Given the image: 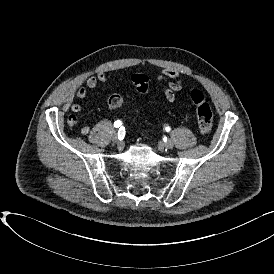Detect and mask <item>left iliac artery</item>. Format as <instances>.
<instances>
[{"label": "left iliac artery", "instance_id": "left-iliac-artery-1", "mask_svg": "<svg viewBox=\"0 0 274 274\" xmlns=\"http://www.w3.org/2000/svg\"><path fill=\"white\" fill-rule=\"evenodd\" d=\"M165 130H166L167 132H170V131H171V128H170V127H165Z\"/></svg>", "mask_w": 274, "mask_h": 274}]
</instances>
